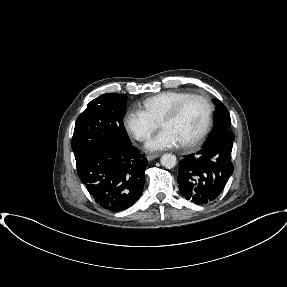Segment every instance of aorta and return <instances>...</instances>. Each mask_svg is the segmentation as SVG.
I'll list each match as a JSON object with an SVG mask.
<instances>
[{
  "mask_svg": "<svg viewBox=\"0 0 287 287\" xmlns=\"http://www.w3.org/2000/svg\"><path fill=\"white\" fill-rule=\"evenodd\" d=\"M160 163L162 166H164L165 168H173L176 166L177 163V158L175 155L170 154V153H166L164 155L161 156L160 158Z\"/></svg>",
  "mask_w": 287,
  "mask_h": 287,
  "instance_id": "762f6f07",
  "label": "aorta"
}]
</instances>
